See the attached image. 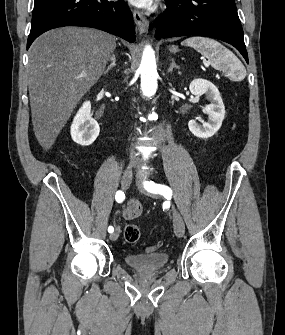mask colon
Wrapping results in <instances>:
<instances>
[{
    "label": "colon",
    "instance_id": "1",
    "mask_svg": "<svg viewBox=\"0 0 285 335\" xmlns=\"http://www.w3.org/2000/svg\"><path fill=\"white\" fill-rule=\"evenodd\" d=\"M140 229L135 224H129L124 229V239L127 243H136L140 239ZM159 244L156 246L151 247L149 250L153 251L155 250Z\"/></svg>",
    "mask_w": 285,
    "mask_h": 335
}]
</instances>
